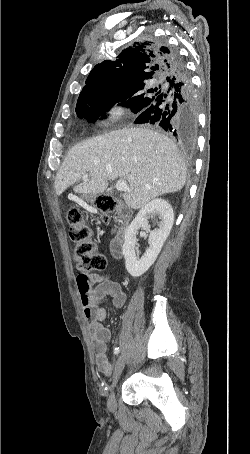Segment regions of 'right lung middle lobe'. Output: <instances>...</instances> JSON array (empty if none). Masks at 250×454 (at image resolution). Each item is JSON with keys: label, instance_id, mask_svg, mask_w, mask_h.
I'll return each instance as SVG.
<instances>
[{"label": "right lung middle lobe", "instance_id": "1", "mask_svg": "<svg viewBox=\"0 0 250 454\" xmlns=\"http://www.w3.org/2000/svg\"><path fill=\"white\" fill-rule=\"evenodd\" d=\"M145 84L136 86L132 89H129L117 97L109 98L100 102H86L79 103L76 105V113L79 118H84L88 122H94L99 116L102 115V118H105L103 115L104 112L109 110L115 103L121 102V105L128 107L134 114H137L146 104L154 100L157 96V91L152 96H147L145 93H142L141 90L144 89ZM148 92L154 93V91L148 90ZM126 99H128L126 101Z\"/></svg>", "mask_w": 250, "mask_h": 454}]
</instances>
